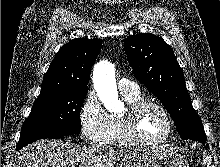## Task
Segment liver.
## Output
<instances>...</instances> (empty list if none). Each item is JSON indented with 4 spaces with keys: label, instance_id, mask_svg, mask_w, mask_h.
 <instances>
[{
    "label": "liver",
    "instance_id": "liver-1",
    "mask_svg": "<svg viewBox=\"0 0 220 167\" xmlns=\"http://www.w3.org/2000/svg\"><path fill=\"white\" fill-rule=\"evenodd\" d=\"M129 150L80 146L61 140H39L18 154L17 167H114Z\"/></svg>",
    "mask_w": 220,
    "mask_h": 167
}]
</instances>
